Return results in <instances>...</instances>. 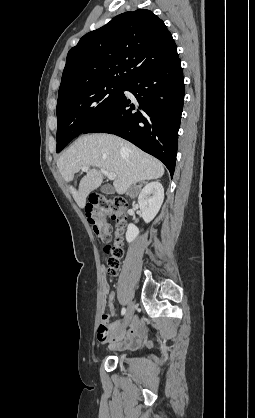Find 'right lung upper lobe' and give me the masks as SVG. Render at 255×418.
<instances>
[{"label": "right lung upper lobe", "mask_w": 255, "mask_h": 418, "mask_svg": "<svg viewBox=\"0 0 255 418\" xmlns=\"http://www.w3.org/2000/svg\"><path fill=\"white\" fill-rule=\"evenodd\" d=\"M177 58L176 44L161 19L146 9L125 12L71 48L58 94L100 82L127 84Z\"/></svg>", "instance_id": "1"}]
</instances>
